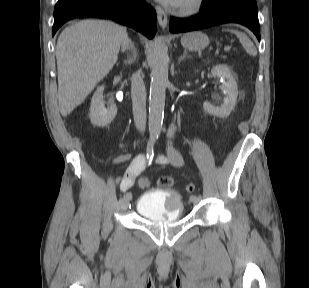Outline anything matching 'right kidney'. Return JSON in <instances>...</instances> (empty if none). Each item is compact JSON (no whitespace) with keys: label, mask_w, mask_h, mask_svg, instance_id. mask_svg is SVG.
<instances>
[{"label":"right kidney","mask_w":309,"mask_h":288,"mask_svg":"<svg viewBox=\"0 0 309 288\" xmlns=\"http://www.w3.org/2000/svg\"><path fill=\"white\" fill-rule=\"evenodd\" d=\"M104 86H100L95 91L90 106V121L98 127L107 126L112 122L117 114V107L114 103H110L105 107L103 100Z\"/></svg>","instance_id":"1"}]
</instances>
